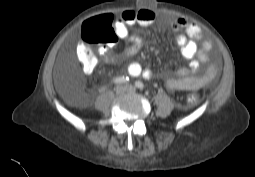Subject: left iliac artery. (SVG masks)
<instances>
[{"instance_id":"left-iliac-artery-1","label":"left iliac artery","mask_w":255,"mask_h":177,"mask_svg":"<svg viewBox=\"0 0 255 177\" xmlns=\"http://www.w3.org/2000/svg\"><path fill=\"white\" fill-rule=\"evenodd\" d=\"M135 87H137L138 89H143L144 85L142 82L137 81V82H135Z\"/></svg>"}]
</instances>
